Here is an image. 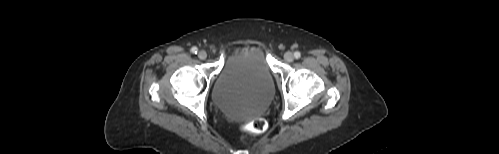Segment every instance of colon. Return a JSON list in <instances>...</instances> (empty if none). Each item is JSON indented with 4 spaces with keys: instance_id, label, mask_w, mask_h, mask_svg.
Wrapping results in <instances>:
<instances>
[{
    "instance_id": "5ec220e1",
    "label": "colon",
    "mask_w": 499,
    "mask_h": 154,
    "mask_svg": "<svg viewBox=\"0 0 499 154\" xmlns=\"http://www.w3.org/2000/svg\"><path fill=\"white\" fill-rule=\"evenodd\" d=\"M267 128L266 122L263 119H255L246 125L245 130L251 133H261Z\"/></svg>"
}]
</instances>
